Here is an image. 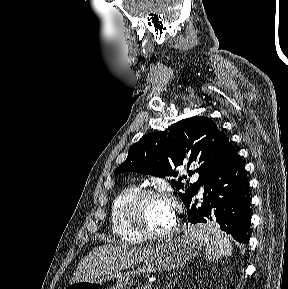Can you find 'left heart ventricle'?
Segmentation results:
<instances>
[{
	"mask_svg": "<svg viewBox=\"0 0 288 289\" xmlns=\"http://www.w3.org/2000/svg\"><path fill=\"white\" fill-rule=\"evenodd\" d=\"M143 227L152 232L168 229L174 220L172 205L163 199L151 198L141 208Z\"/></svg>",
	"mask_w": 288,
	"mask_h": 289,
	"instance_id": "1",
	"label": "left heart ventricle"
}]
</instances>
